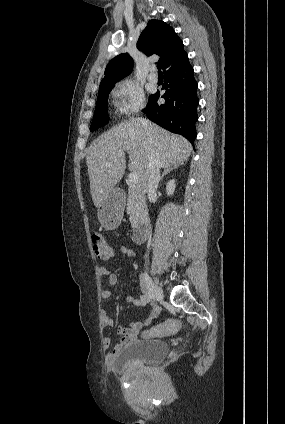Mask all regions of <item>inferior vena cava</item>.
Listing matches in <instances>:
<instances>
[{
    "instance_id": "602c4592",
    "label": "inferior vena cava",
    "mask_w": 285,
    "mask_h": 424,
    "mask_svg": "<svg viewBox=\"0 0 285 424\" xmlns=\"http://www.w3.org/2000/svg\"><path fill=\"white\" fill-rule=\"evenodd\" d=\"M141 123L147 127L148 124L145 119L140 118ZM148 168L149 175L147 179V194L149 200H152L156 196L158 183L160 177V159L158 158L155 150L149 146L148 148Z\"/></svg>"
}]
</instances>
